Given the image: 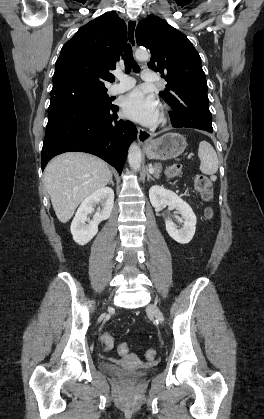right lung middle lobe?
Returning <instances> with one entry per match:
<instances>
[{
  "instance_id": "right-lung-middle-lobe-1",
  "label": "right lung middle lobe",
  "mask_w": 264,
  "mask_h": 419,
  "mask_svg": "<svg viewBox=\"0 0 264 419\" xmlns=\"http://www.w3.org/2000/svg\"><path fill=\"white\" fill-rule=\"evenodd\" d=\"M107 89L75 88L51 95L48 112L56 106L66 102H80L97 106L109 107L111 100L106 93Z\"/></svg>"
}]
</instances>
